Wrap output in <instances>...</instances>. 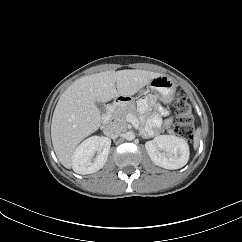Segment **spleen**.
<instances>
[{
    "instance_id": "spleen-1",
    "label": "spleen",
    "mask_w": 242,
    "mask_h": 242,
    "mask_svg": "<svg viewBox=\"0 0 242 242\" xmlns=\"http://www.w3.org/2000/svg\"><path fill=\"white\" fill-rule=\"evenodd\" d=\"M199 139H200V129H197L196 132L194 133V147L195 148L198 147Z\"/></svg>"
}]
</instances>
